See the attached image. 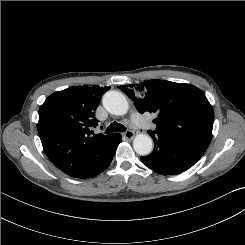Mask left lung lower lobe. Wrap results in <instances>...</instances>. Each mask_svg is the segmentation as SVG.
Listing matches in <instances>:
<instances>
[{"label": "left lung lower lobe", "instance_id": "left-lung-lower-lobe-1", "mask_svg": "<svg viewBox=\"0 0 245 245\" xmlns=\"http://www.w3.org/2000/svg\"><path fill=\"white\" fill-rule=\"evenodd\" d=\"M154 140L153 152L141 157L144 165L163 175L180 174L193 166L208 146L191 139L149 132Z\"/></svg>", "mask_w": 245, "mask_h": 245}]
</instances>
